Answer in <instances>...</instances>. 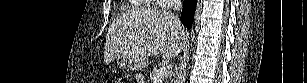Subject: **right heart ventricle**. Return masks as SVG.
I'll list each match as a JSON object with an SVG mask.
<instances>
[{
  "mask_svg": "<svg viewBox=\"0 0 307 83\" xmlns=\"http://www.w3.org/2000/svg\"><path fill=\"white\" fill-rule=\"evenodd\" d=\"M148 5H145L143 3V1H137L135 4H134V7L133 8H145L147 7Z\"/></svg>",
  "mask_w": 307,
  "mask_h": 83,
  "instance_id": "obj_1",
  "label": "right heart ventricle"
}]
</instances>
